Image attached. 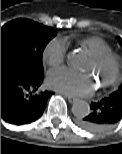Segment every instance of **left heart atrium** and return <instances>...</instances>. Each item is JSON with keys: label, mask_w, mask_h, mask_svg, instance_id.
<instances>
[{"label": "left heart atrium", "mask_w": 122, "mask_h": 154, "mask_svg": "<svg viewBox=\"0 0 122 154\" xmlns=\"http://www.w3.org/2000/svg\"><path fill=\"white\" fill-rule=\"evenodd\" d=\"M47 82L52 89L70 96H87L94 90L90 75L68 68L50 71Z\"/></svg>", "instance_id": "39dd6f15"}]
</instances>
